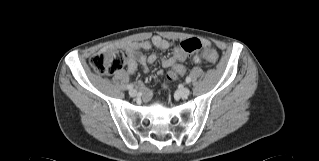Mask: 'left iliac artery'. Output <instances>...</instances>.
<instances>
[{"label": "left iliac artery", "instance_id": "obj_1", "mask_svg": "<svg viewBox=\"0 0 319 161\" xmlns=\"http://www.w3.org/2000/svg\"><path fill=\"white\" fill-rule=\"evenodd\" d=\"M185 81L187 84H189L191 82V78L188 76V77H186Z\"/></svg>", "mask_w": 319, "mask_h": 161}]
</instances>
